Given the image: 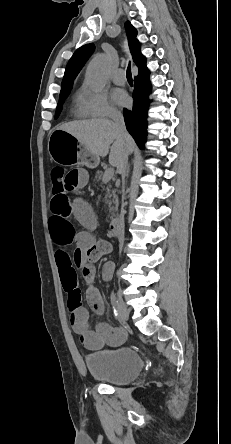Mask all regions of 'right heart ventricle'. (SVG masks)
<instances>
[{"instance_id":"e07e8e85","label":"right heart ventricle","mask_w":231,"mask_h":444,"mask_svg":"<svg viewBox=\"0 0 231 444\" xmlns=\"http://www.w3.org/2000/svg\"><path fill=\"white\" fill-rule=\"evenodd\" d=\"M77 113H78V115H79V116H81V114L79 113V111H78V110H77Z\"/></svg>"}]
</instances>
